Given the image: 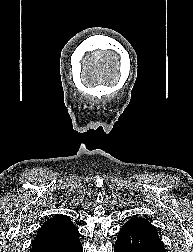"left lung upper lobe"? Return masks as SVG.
Here are the masks:
<instances>
[{
  "label": "left lung upper lobe",
  "instance_id": "1",
  "mask_svg": "<svg viewBox=\"0 0 193 252\" xmlns=\"http://www.w3.org/2000/svg\"><path fill=\"white\" fill-rule=\"evenodd\" d=\"M128 224H149V225H151L148 220H146L145 218H142V217L132 218L128 222L125 223V225H128Z\"/></svg>",
  "mask_w": 193,
  "mask_h": 252
}]
</instances>
